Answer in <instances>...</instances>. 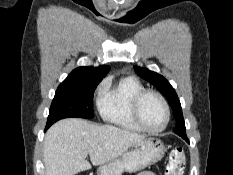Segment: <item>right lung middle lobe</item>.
<instances>
[{"label":"right lung middle lobe","mask_w":233,"mask_h":175,"mask_svg":"<svg viewBox=\"0 0 233 175\" xmlns=\"http://www.w3.org/2000/svg\"><path fill=\"white\" fill-rule=\"evenodd\" d=\"M100 81L61 83L50 107L46 129L63 118H93V95Z\"/></svg>","instance_id":"right-lung-middle-lobe-1"}]
</instances>
